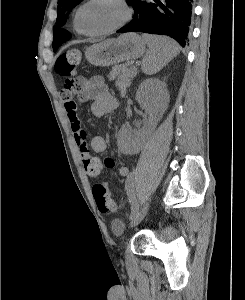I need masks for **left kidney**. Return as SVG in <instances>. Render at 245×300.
Segmentation results:
<instances>
[{
	"label": "left kidney",
	"instance_id": "obj_1",
	"mask_svg": "<svg viewBox=\"0 0 245 300\" xmlns=\"http://www.w3.org/2000/svg\"><path fill=\"white\" fill-rule=\"evenodd\" d=\"M136 100L149 114V124L141 132L123 127L119 135L120 148L124 152H132L140 146L142 137L149 128L155 127L166 111L169 93L166 84L157 78L144 80L136 93Z\"/></svg>",
	"mask_w": 245,
	"mask_h": 300
}]
</instances>
